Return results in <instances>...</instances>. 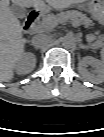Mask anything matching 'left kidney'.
Segmentation results:
<instances>
[{
    "instance_id": "5707ae66",
    "label": "left kidney",
    "mask_w": 104,
    "mask_h": 137,
    "mask_svg": "<svg viewBox=\"0 0 104 137\" xmlns=\"http://www.w3.org/2000/svg\"><path fill=\"white\" fill-rule=\"evenodd\" d=\"M86 65H92L96 69L97 80L101 82L103 80V73H104V63H103V61H100V60L95 59V58L90 57V56L84 57L79 62V67H80V70H81L82 74L87 73V71L85 69ZM90 77L95 79V77L93 75L90 76Z\"/></svg>"
}]
</instances>
